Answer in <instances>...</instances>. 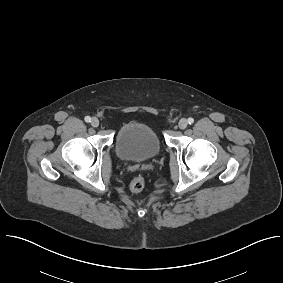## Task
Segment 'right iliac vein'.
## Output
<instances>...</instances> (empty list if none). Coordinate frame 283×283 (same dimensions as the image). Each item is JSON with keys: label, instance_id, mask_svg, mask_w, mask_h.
Listing matches in <instances>:
<instances>
[{"label": "right iliac vein", "instance_id": "1", "mask_svg": "<svg viewBox=\"0 0 283 283\" xmlns=\"http://www.w3.org/2000/svg\"><path fill=\"white\" fill-rule=\"evenodd\" d=\"M91 125H92L93 127H98V126H99V120H98V118L93 117L92 120H91Z\"/></svg>", "mask_w": 283, "mask_h": 283}]
</instances>
